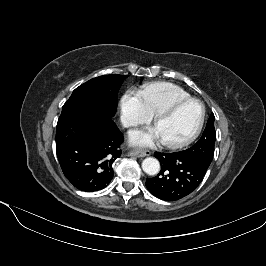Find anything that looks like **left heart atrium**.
<instances>
[{"instance_id": "1", "label": "left heart atrium", "mask_w": 266, "mask_h": 266, "mask_svg": "<svg viewBox=\"0 0 266 266\" xmlns=\"http://www.w3.org/2000/svg\"><path fill=\"white\" fill-rule=\"evenodd\" d=\"M130 140L136 145H153L155 142L162 141L156 129L146 131H134L130 134Z\"/></svg>"}]
</instances>
